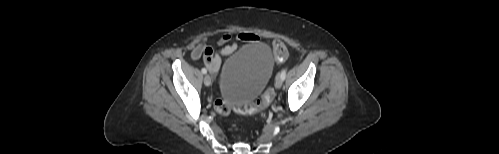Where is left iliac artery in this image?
I'll return each mask as SVG.
<instances>
[{"label": "left iliac artery", "mask_w": 499, "mask_h": 154, "mask_svg": "<svg viewBox=\"0 0 499 154\" xmlns=\"http://www.w3.org/2000/svg\"><path fill=\"white\" fill-rule=\"evenodd\" d=\"M286 71H287V69H283V70L281 71V74H280V75H281L282 80H284V79H285V77H286Z\"/></svg>", "instance_id": "1"}]
</instances>
